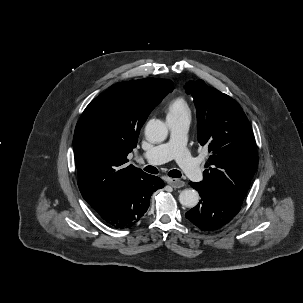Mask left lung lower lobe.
Wrapping results in <instances>:
<instances>
[{"label":"left lung lower lobe","instance_id":"obj_1","mask_svg":"<svg viewBox=\"0 0 303 303\" xmlns=\"http://www.w3.org/2000/svg\"><path fill=\"white\" fill-rule=\"evenodd\" d=\"M189 184L199 192L201 200L185 215L198 228L207 231L218 229L240 211L242 203L228 193L208 187L203 182Z\"/></svg>","mask_w":303,"mask_h":303}]
</instances>
